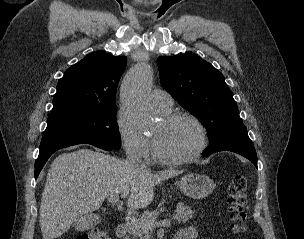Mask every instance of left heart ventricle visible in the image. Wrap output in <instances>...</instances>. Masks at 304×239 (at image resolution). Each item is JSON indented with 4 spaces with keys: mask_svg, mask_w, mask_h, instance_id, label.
Returning <instances> with one entry per match:
<instances>
[{
    "mask_svg": "<svg viewBox=\"0 0 304 239\" xmlns=\"http://www.w3.org/2000/svg\"><path fill=\"white\" fill-rule=\"evenodd\" d=\"M157 151L165 157L180 158L191 154L199 144L197 127L187 119L171 123L163 120L152 132Z\"/></svg>",
    "mask_w": 304,
    "mask_h": 239,
    "instance_id": "obj_1",
    "label": "left heart ventricle"
}]
</instances>
